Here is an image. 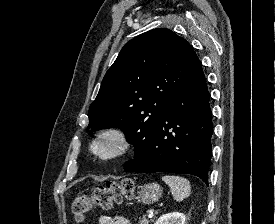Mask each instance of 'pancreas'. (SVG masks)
<instances>
[{"instance_id":"pancreas-1","label":"pancreas","mask_w":275,"mask_h":224,"mask_svg":"<svg viewBox=\"0 0 275 224\" xmlns=\"http://www.w3.org/2000/svg\"><path fill=\"white\" fill-rule=\"evenodd\" d=\"M153 221V220H151ZM149 220L146 218V216L140 217L138 220V224H149Z\"/></svg>"}]
</instances>
